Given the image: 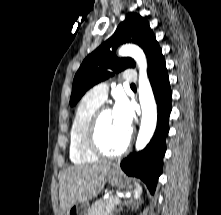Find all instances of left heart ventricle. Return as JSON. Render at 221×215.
Wrapping results in <instances>:
<instances>
[{
  "label": "left heart ventricle",
  "mask_w": 221,
  "mask_h": 215,
  "mask_svg": "<svg viewBox=\"0 0 221 215\" xmlns=\"http://www.w3.org/2000/svg\"><path fill=\"white\" fill-rule=\"evenodd\" d=\"M129 134L124 132L117 124L113 112H106L100 122L99 140L102 147L108 152H117L123 148Z\"/></svg>",
  "instance_id": "b2bd125f"
}]
</instances>
